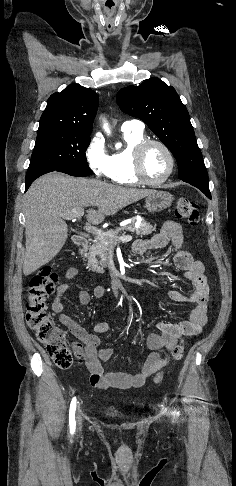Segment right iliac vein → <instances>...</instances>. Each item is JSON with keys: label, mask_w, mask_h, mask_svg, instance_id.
I'll use <instances>...</instances> for the list:
<instances>
[{"label": "right iliac vein", "mask_w": 236, "mask_h": 486, "mask_svg": "<svg viewBox=\"0 0 236 486\" xmlns=\"http://www.w3.org/2000/svg\"><path fill=\"white\" fill-rule=\"evenodd\" d=\"M78 422H79V424L81 423V419L80 418H78Z\"/></svg>", "instance_id": "63e3f726"}]
</instances>
